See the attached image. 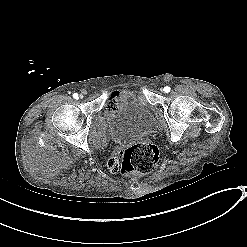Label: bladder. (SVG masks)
I'll return each instance as SVG.
<instances>
[{
    "label": "bladder",
    "mask_w": 247,
    "mask_h": 247,
    "mask_svg": "<svg viewBox=\"0 0 247 247\" xmlns=\"http://www.w3.org/2000/svg\"><path fill=\"white\" fill-rule=\"evenodd\" d=\"M154 108L148 105L142 94L116 92L105 109V115L116 133L117 143L141 142L157 129Z\"/></svg>",
    "instance_id": "obj_1"
}]
</instances>
